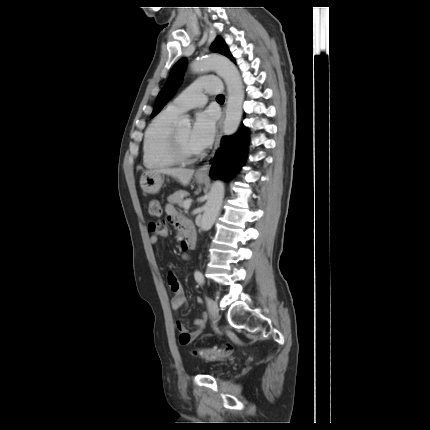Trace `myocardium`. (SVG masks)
<instances>
[{"instance_id":"f54148a6","label":"myocardium","mask_w":430,"mask_h":430,"mask_svg":"<svg viewBox=\"0 0 430 430\" xmlns=\"http://www.w3.org/2000/svg\"><path fill=\"white\" fill-rule=\"evenodd\" d=\"M169 151L173 159L177 163H191L196 161L200 157V153H189L187 152L182 143L180 142L177 127H174V129L171 132L170 138H169Z\"/></svg>"}]
</instances>
